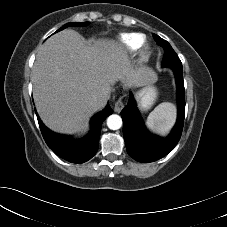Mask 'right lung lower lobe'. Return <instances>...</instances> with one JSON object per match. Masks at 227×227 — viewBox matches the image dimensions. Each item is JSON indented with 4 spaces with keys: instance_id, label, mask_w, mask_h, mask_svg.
<instances>
[{
    "instance_id": "right-lung-lower-lobe-1",
    "label": "right lung lower lobe",
    "mask_w": 227,
    "mask_h": 227,
    "mask_svg": "<svg viewBox=\"0 0 227 227\" xmlns=\"http://www.w3.org/2000/svg\"><path fill=\"white\" fill-rule=\"evenodd\" d=\"M112 114L109 104L104 110L91 119V131L82 139L73 140L47 129L37 116L43 138L48 147L61 158L72 163H84L91 159L98 150L101 125L106 117Z\"/></svg>"
}]
</instances>
